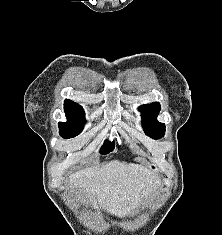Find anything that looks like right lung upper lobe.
Returning <instances> with one entry per match:
<instances>
[{
	"label": "right lung upper lobe",
	"mask_w": 222,
	"mask_h": 235,
	"mask_svg": "<svg viewBox=\"0 0 222 235\" xmlns=\"http://www.w3.org/2000/svg\"><path fill=\"white\" fill-rule=\"evenodd\" d=\"M64 110L67 118H84L85 115L83 108L79 104L68 99L64 102Z\"/></svg>",
	"instance_id": "right-lung-upper-lobe-1"
}]
</instances>
